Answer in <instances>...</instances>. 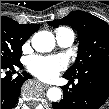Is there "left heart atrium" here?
Instances as JSON below:
<instances>
[{"instance_id":"obj_1","label":"left heart atrium","mask_w":109,"mask_h":109,"mask_svg":"<svg viewBox=\"0 0 109 109\" xmlns=\"http://www.w3.org/2000/svg\"><path fill=\"white\" fill-rule=\"evenodd\" d=\"M68 65L66 58L57 56H31L27 60L29 71L38 78L50 81L55 79Z\"/></svg>"}]
</instances>
